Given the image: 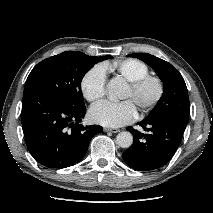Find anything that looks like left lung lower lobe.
<instances>
[{
	"mask_svg": "<svg viewBox=\"0 0 213 213\" xmlns=\"http://www.w3.org/2000/svg\"><path fill=\"white\" fill-rule=\"evenodd\" d=\"M187 121L166 116L154 120L144 119L138 124L145 133L128 127L133 134V145L122 154L126 164L138 171L162 167L170 161L179 147Z\"/></svg>",
	"mask_w": 213,
	"mask_h": 213,
	"instance_id": "1",
	"label": "left lung lower lobe"
}]
</instances>
